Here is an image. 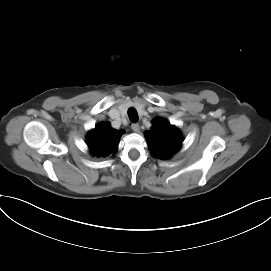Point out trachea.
Segmentation results:
<instances>
[{"label": "trachea", "mask_w": 271, "mask_h": 271, "mask_svg": "<svg viewBox=\"0 0 271 271\" xmlns=\"http://www.w3.org/2000/svg\"><path fill=\"white\" fill-rule=\"evenodd\" d=\"M128 116H129V119L132 122H137L138 121V113H137V111L134 108H130L128 110Z\"/></svg>", "instance_id": "trachea-1"}]
</instances>
